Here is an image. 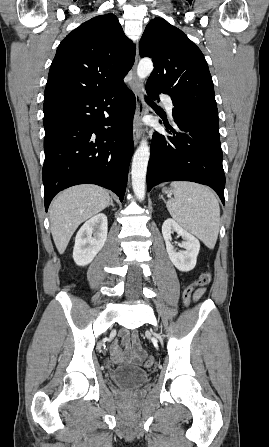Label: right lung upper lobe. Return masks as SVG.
<instances>
[{
    "label": "right lung upper lobe",
    "mask_w": 269,
    "mask_h": 447,
    "mask_svg": "<svg viewBox=\"0 0 269 447\" xmlns=\"http://www.w3.org/2000/svg\"><path fill=\"white\" fill-rule=\"evenodd\" d=\"M135 52L115 15L90 19L58 46L44 99L91 94L120 83L134 63Z\"/></svg>",
    "instance_id": "1"
}]
</instances>
